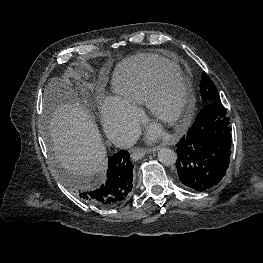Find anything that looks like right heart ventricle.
<instances>
[{"instance_id": "e07e8e85", "label": "right heart ventricle", "mask_w": 263, "mask_h": 263, "mask_svg": "<svg viewBox=\"0 0 263 263\" xmlns=\"http://www.w3.org/2000/svg\"><path fill=\"white\" fill-rule=\"evenodd\" d=\"M178 70L163 58L150 54L132 56L120 63L112 76L115 98L135 107L144 104L151 81L160 72Z\"/></svg>"}]
</instances>
